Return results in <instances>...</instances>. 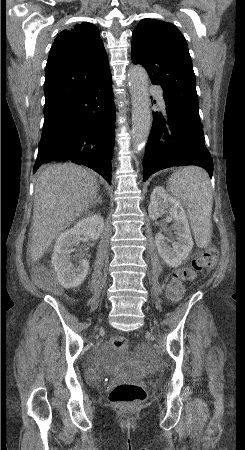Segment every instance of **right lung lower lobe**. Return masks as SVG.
Instances as JSON below:
<instances>
[{
  "instance_id": "1",
  "label": "right lung lower lobe",
  "mask_w": 245,
  "mask_h": 450,
  "mask_svg": "<svg viewBox=\"0 0 245 450\" xmlns=\"http://www.w3.org/2000/svg\"><path fill=\"white\" fill-rule=\"evenodd\" d=\"M44 117L33 172L45 162L68 161L93 169L111 184L115 130L111 73L45 111Z\"/></svg>"
}]
</instances>
